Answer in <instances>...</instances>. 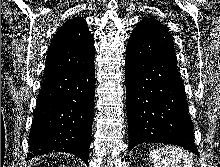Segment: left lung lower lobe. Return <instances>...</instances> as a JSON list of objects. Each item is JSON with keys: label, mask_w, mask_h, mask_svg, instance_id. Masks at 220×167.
<instances>
[{"label": "left lung lower lobe", "mask_w": 220, "mask_h": 167, "mask_svg": "<svg viewBox=\"0 0 220 167\" xmlns=\"http://www.w3.org/2000/svg\"><path fill=\"white\" fill-rule=\"evenodd\" d=\"M177 63L126 50L129 149L144 142L174 144L198 154Z\"/></svg>", "instance_id": "0a47b994"}]
</instances>
